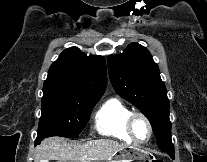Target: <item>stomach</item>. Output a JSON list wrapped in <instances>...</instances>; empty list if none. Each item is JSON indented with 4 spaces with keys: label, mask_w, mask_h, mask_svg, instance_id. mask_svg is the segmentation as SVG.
<instances>
[{
    "label": "stomach",
    "mask_w": 207,
    "mask_h": 162,
    "mask_svg": "<svg viewBox=\"0 0 207 162\" xmlns=\"http://www.w3.org/2000/svg\"><path fill=\"white\" fill-rule=\"evenodd\" d=\"M134 160H155V158L143 150L125 147L118 151L110 162H133Z\"/></svg>",
    "instance_id": "obj_1"
}]
</instances>
